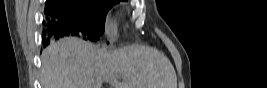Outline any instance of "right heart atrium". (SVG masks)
<instances>
[{
    "label": "right heart atrium",
    "mask_w": 267,
    "mask_h": 88,
    "mask_svg": "<svg viewBox=\"0 0 267 88\" xmlns=\"http://www.w3.org/2000/svg\"><path fill=\"white\" fill-rule=\"evenodd\" d=\"M106 34L110 39H114L116 36V26L113 21H111L109 18L106 19L105 24Z\"/></svg>",
    "instance_id": "obj_1"
}]
</instances>
